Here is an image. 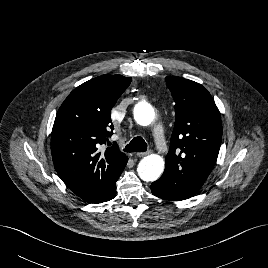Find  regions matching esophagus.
<instances>
[{"instance_id":"obj_1","label":"esophagus","mask_w":268,"mask_h":268,"mask_svg":"<svg viewBox=\"0 0 268 268\" xmlns=\"http://www.w3.org/2000/svg\"><path fill=\"white\" fill-rule=\"evenodd\" d=\"M150 153H151V150L146 151V152H139V153H137L136 155H137L138 157H144V156H146V155H148V154H150Z\"/></svg>"}]
</instances>
